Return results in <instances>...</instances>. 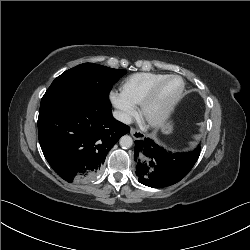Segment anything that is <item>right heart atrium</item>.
Wrapping results in <instances>:
<instances>
[{
	"instance_id": "right-heart-atrium-1",
	"label": "right heart atrium",
	"mask_w": 250,
	"mask_h": 250,
	"mask_svg": "<svg viewBox=\"0 0 250 250\" xmlns=\"http://www.w3.org/2000/svg\"><path fill=\"white\" fill-rule=\"evenodd\" d=\"M112 104L119 112V118L123 122H128L135 113V108L127 102L120 93L112 92L110 94Z\"/></svg>"
}]
</instances>
